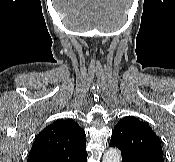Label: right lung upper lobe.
<instances>
[{"label":"right lung upper lobe","instance_id":"cb5924a9","mask_svg":"<svg viewBox=\"0 0 175 162\" xmlns=\"http://www.w3.org/2000/svg\"><path fill=\"white\" fill-rule=\"evenodd\" d=\"M85 132L72 119L44 128L30 150L27 162H77L87 156Z\"/></svg>","mask_w":175,"mask_h":162}]
</instances>
